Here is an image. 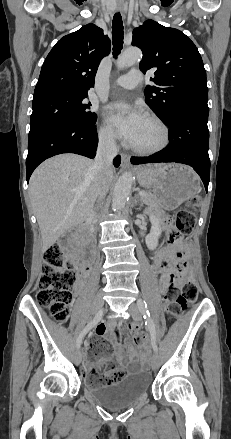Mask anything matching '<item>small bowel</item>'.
<instances>
[{
    "label": "small bowel",
    "mask_w": 231,
    "mask_h": 439,
    "mask_svg": "<svg viewBox=\"0 0 231 439\" xmlns=\"http://www.w3.org/2000/svg\"><path fill=\"white\" fill-rule=\"evenodd\" d=\"M174 252L175 249L173 247H167L153 257V268L155 272H161L164 269L163 261L170 259L174 255ZM87 271L85 267H82L81 276H84ZM97 334L116 343V359L120 364L125 365L131 371H135L140 367L141 363L135 359V350L133 348H126L121 344V335L115 326H98ZM137 344L143 347L145 345V339L137 337ZM110 361L111 359L109 358H103L97 364L89 365V369L101 371Z\"/></svg>",
    "instance_id": "1"
}]
</instances>
